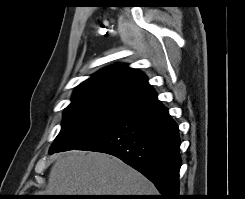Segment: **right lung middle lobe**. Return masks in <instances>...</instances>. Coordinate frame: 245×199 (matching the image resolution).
Segmentation results:
<instances>
[{
  "label": "right lung middle lobe",
  "mask_w": 245,
  "mask_h": 199,
  "mask_svg": "<svg viewBox=\"0 0 245 199\" xmlns=\"http://www.w3.org/2000/svg\"><path fill=\"white\" fill-rule=\"evenodd\" d=\"M128 115L93 106L66 108L49 153L76 149L108 132Z\"/></svg>",
  "instance_id": "dd1d6c3e"
}]
</instances>
